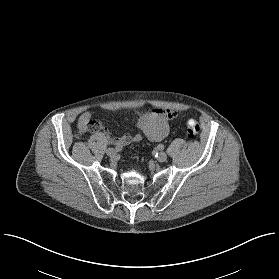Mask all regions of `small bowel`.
<instances>
[{"label":"small bowel","instance_id":"c3829d8e","mask_svg":"<svg viewBox=\"0 0 279 279\" xmlns=\"http://www.w3.org/2000/svg\"><path fill=\"white\" fill-rule=\"evenodd\" d=\"M113 111L112 108H106ZM94 113L92 111H84L78 121V126L81 129L86 127L90 131L103 130L108 141L115 146H126L131 143H137L142 140L140 133L125 134L122 136H115L109 130L104 128L98 121L92 120ZM179 118V113L168 109H157L147 114L141 115L138 119V126L145 137L152 141L164 140L170 131V124L172 121Z\"/></svg>","mask_w":279,"mask_h":279}]
</instances>
